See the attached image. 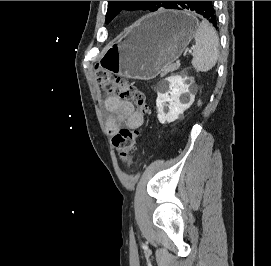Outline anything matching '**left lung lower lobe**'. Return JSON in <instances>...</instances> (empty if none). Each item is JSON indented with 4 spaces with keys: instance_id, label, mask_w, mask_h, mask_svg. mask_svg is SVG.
<instances>
[{
    "instance_id": "obj_1",
    "label": "left lung lower lobe",
    "mask_w": 271,
    "mask_h": 266,
    "mask_svg": "<svg viewBox=\"0 0 271 266\" xmlns=\"http://www.w3.org/2000/svg\"><path fill=\"white\" fill-rule=\"evenodd\" d=\"M167 9H188L200 14L215 28L218 27V18L214 9L213 1H172Z\"/></svg>"
}]
</instances>
